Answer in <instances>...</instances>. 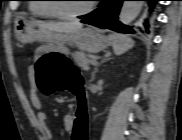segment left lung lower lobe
Here are the masks:
<instances>
[{
	"instance_id": "0a47b994",
	"label": "left lung lower lobe",
	"mask_w": 182,
	"mask_h": 140,
	"mask_svg": "<svg viewBox=\"0 0 182 140\" xmlns=\"http://www.w3.org/2000/svg\"><path fill=\"white\" fill-rule=\"evenodd\" d=\"M149 6L153 7L157 0H148ZM123 0H102L99 8L90 13L87 18L82 19V23L93 25L102 29H111L121 33H134L130 26L118 21V14Z\"/></svg>"
}]
</instances>
